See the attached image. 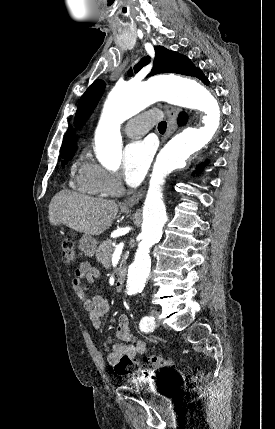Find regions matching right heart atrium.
Segmentation results:
<instances>
[{"label": "right heart atrium", "instance_id": "1", "mask_svg": "<svg viewBox=\"0 0 275 429\" xmlns=\"http://www.w3.org/2000/svg\"><path fill=\"white\" fill-rule=\"evenodd\" d=\"M96 179L100 187L107 195H117L122 190V183L120 178L99 166L95 169Z\"/></svg>", "mask_w": 275, "mask_h": 429}]
</instances>
